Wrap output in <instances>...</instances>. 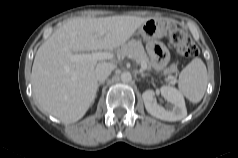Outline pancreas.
I'll use <instances>...</instances> for the list:
<instances>
[{"label":"pancreas","instance_id":"pancreas-1","mask_svg":"<svg viewBox=\"0 0 238 158\" xmlns=\"http://www.w3.org/2000/svg\"><path fill=\"white\" fill-rule=\"evenodd\" d=\"M117 54L121 57H130L134 59L138 64H146L148 71L152 70L151 63L141 41L131 40L123 44L120 48L117 49ZM174 71H176V68L174 65H172L164 72V75H167L165 81L168 84L174 83V79L171 75V73Z\"/></svg>","mask_w":238,"mask_h":158}]
</instances>
